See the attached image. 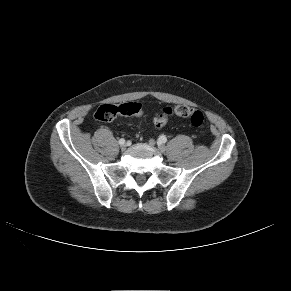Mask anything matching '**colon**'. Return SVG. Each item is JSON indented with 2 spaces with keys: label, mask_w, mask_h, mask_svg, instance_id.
I'll use <instances>...</instances> for the list:
<instances>
[{
  "label": "colon",
  "mask_w": 291,
  "mask_h": 291,
  "mask_svg": "<svg viewBox=\"0 0 291 291\" xmlns=\"http://www.w3.org/2000/svg\"><path fill=\"white\" fill-rule=\"evenodd\" d=\"M143 113L142 104L139 102H127L120 105L104 104L94 113V119L98 122L112 121L116 116H141ZM172 117L188 118L192 126L202 129L205 126L204 114L187 105L165 107L153 117L156 127H164Z\"/></svg>",
  "instance_id": "obj_1"
}]
</instances>
